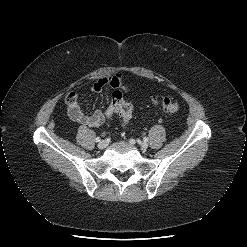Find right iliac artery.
I'll return each mask as SVG.
<instances>
[{"label": "right iliac artery", "mask_w": 247, "mask_h": 247, "mask_svg": "<svg viewBox=\"0 0 247 247\" xmlns=\"http://www.w3.org/2000/svg\"><path fill=\"white\" fill-rule=\"evenodd\" d=\"M100 140H101L100 137H97V138L95 139L96 142H100Z\"/></svg>", "instance_id": "1"}]
</instances>
